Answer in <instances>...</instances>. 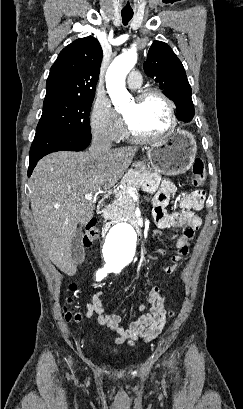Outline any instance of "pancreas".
<instances>
[{
    "label": "pancreas",
    "mask_w": 243,
    "mask_h": 409,
    "mask_svg": "<svg viewBox=\"0 0 243 409\" xmlns=\"http://www.w3.org/2000/svg\"><path fill=\"white\" fill-rule=\"evenodd\" d=\"M147 169H130L121 180L122 189L118 192V201L107 209L103 216L106 220H124L135 217L134 200L127 193L129 188H144L149 175Z\"/></svg>",
    "instance_id": "cf45deb5"
}]
</instances>
